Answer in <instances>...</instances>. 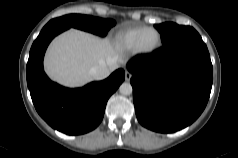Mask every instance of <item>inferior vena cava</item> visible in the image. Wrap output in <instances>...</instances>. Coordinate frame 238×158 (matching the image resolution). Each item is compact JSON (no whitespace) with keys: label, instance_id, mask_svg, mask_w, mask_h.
<instances>
[{"label":"inferior vena cava","instance_id":"obj_1","mask_svg":"<svg viewBox=\"0 0 238 158\" xmlns=\"http://www.w3.org/2000/svg\"><path fill=\"white\" fill-rule=\"evenodd\" d=\"M90 76H92L96 80H102L109 76L110 70L106 65H98L94 66L89 70Z\"/></svg>","mask_w":238,"mask_h":158}]
</instances>
